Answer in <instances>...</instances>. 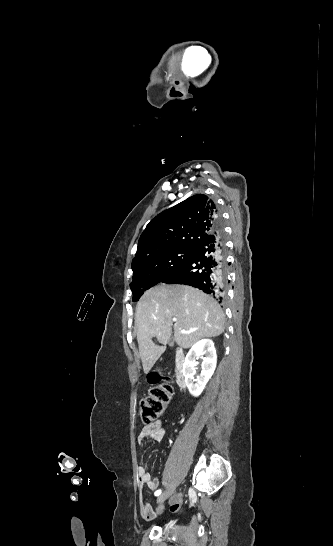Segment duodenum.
Instances as JSON below:
<instances>
[{"label": "duodenum", "mask_w": 333, "mask_h": 546, "mask_svg": "<svg viewBox=\"0 0 333 546\" xmlns=\"http://www.w3.org/2000/svg\"><path fill=\"white\" fill-rule=\"evenodd\" d=\"M184 363L185 354L182 349H178L175 352V379L177 385L181 388H185V376H184Z\"/></svg>", "instance_id": "410a0bca"}]
</instances>
